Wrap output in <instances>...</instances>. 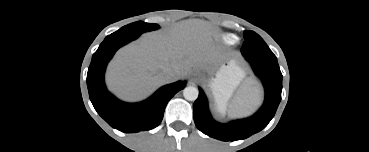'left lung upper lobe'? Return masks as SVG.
Instances as JSON below:
<instances>
[{"instance_id": "left-lung-upper-lobe-1", "label": "left lung upper lobe", "mask_w": 369, "mask_h": 152, "mask_svg": "<svg viewBox=\"0 0 369 152\" xmlns=\"http://www.w3.org/2000/svg\"><path fill=\"white\" fill-rule=\"evenodd\" d=\"M244 37L245 42L241 49L243 55L257 58L277 59L264 40L257 33L253 31H244Z\"/></svg>"}]
</instances>
